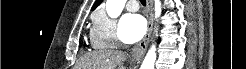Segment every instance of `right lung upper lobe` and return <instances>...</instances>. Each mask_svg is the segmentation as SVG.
<instances>
[{"label":"right lung upper lobe","instance_id":"right-lung-upper-lobe-1","mask_svg":"<svg viewBox=\"0 0 246 69\" xmlns=\"http://www.w3.org/2000/svg\"><path fill=\"white\" fill-rule=\"evenodd\" d=\"M101 2L102 0H97L91 10H94Z\"/></svg>","mask_w":246,"mask_h":69}]
</instances>
